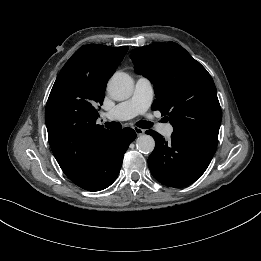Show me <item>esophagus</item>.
Here are the masks:
<instances>
[{
	"label": "esophagus",
	"instance_id": "1",
	"mask_svg": "<svg viewBox=\"0 0 261 261\" xmlns=\"http://www.w3.org/2000/svg\"><path fill=\"white\" fill-rule=\"evenodd\" d=\"M134 131H135V133H136L137 136H141V135H143L144 132H145L144 129L139 128V127H135V128H134Z\"/></svg>",
	"mask_w": 261,
	"mask_h": 261
}]
</instances>
